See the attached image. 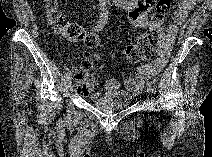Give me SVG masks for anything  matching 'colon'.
I'll return each instance as SVG.
<instances>
[{
  "label": "colon",
  "instance_id": "5ec220e1",
  "mask_svg": "<svg viewBox=\"0 0 212 157\" xmlns=\"http://www.w3.org/2000/svg\"><path fill=\"white\" fill-rule=\"evenodd\" d=\"M174 6V0H159L150 16V27L139 36L125 51V58L129 64H139L157 56L163 41V37L169 38L162 31V25ZM46 17L53 30L70 42H84L87 47L95 48L98 40L95 36L85 34L83 28L74 22H70L58 10L55 2L46 3ZM96 76L93 64L84 59L75 73V89L78 93H88L96 86Z\"/></svg>",
  "mask_w": 212,
  "mask_h": 157
}]
</instances>
